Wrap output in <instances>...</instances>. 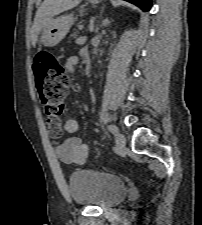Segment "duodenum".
<instances>
[{"instance_id": "duodenum-1", "label": "duodenum", "mask_w": 202, "mask_h": 225, "mask_svg": "<svg viewBox=\"0 0 202 225\" xmlns=\"http://www.w3.org/2000/svg\"><path fill=\"white\" fill-rule=\"evenodd\" d=\"M82 57H83V61H84L86 71L90 70V68H91V57H90L89 52H84L82 54Z\"/></svg>"}]
</instances>
